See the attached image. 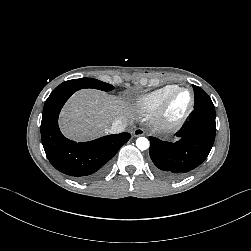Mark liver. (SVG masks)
<instances>
[{"instance_id":"obj_1","label":"liver","mask_w":251,"mask_h":251,"mask_svg":"<svg viewBox=\"0 0 251 251\" xmlns=\"http://www.w3.org/2000/svg\"><path fill=\"white\" fill-rule=\"evenodd\" d=\"M133 110L128 102L98 90H81L61 113L64 133L75 140H87L110 132L115 120L131 123Z\"/></svg>"}]
</instances>
